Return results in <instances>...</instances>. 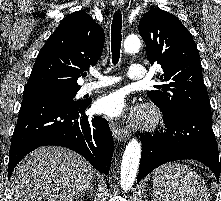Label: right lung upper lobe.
Returning <instances> with one entry per match:
<instances>
[{"label":"right lung upper lobe","instance_id":"obj_1","mask_svg":"<svg viewBox=\"0 0 221 201\" xmlns=\"http://www.w3.org/2000/svg\"><path fill=\"white\" fill-rule=\"evenodd\" d=\"M104 31L87 13L65 17L40 50L27 88L79 89L77 79L99 60Z\"/></svg>","mask_w":221,"mask_h":201}]
</instances>
